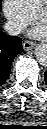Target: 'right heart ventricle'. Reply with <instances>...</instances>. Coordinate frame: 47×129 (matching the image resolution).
Here are the masks:
<instances>
[{"mask_svg": "<svg viewBox=\"0 0 47 129\" xmlns=\"http://www.w3.org/2000/svg\"><path fill=\"white\" fill-rule=\"evenodd\" d=\"M27 10L35 15L37 10L42 6L45 0H20Z\"/></svg>", "mask_w": 47, "mask_h": 129, "instance_id": "1", "label": "right heart ventricle"}]
</instances>
